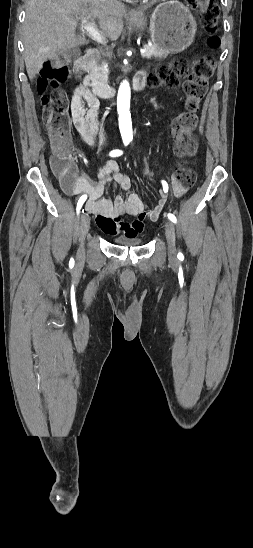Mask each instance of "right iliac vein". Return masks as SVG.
<instances>
[{
  "mask_svg": "<svg viewBox=\"0 0 253 548\" xmlns=\"http://www.w3.org/2000/svg\"><path fill=\"white\" fill-rule=\"evenodd\" d=\"M89 228H90V218L82 213L81 216H80V222H79V232H80V247H79V250H78V257L80 259H83L84 258V255H85V252H84V239H85V236L87 235L88 231H89Z\"/></svg>",
  "mask_w": 253,
  "mask_h": 548,
  "instance_id": "obj_1",
  "label": "right iliac vein"
}]
</instances>
